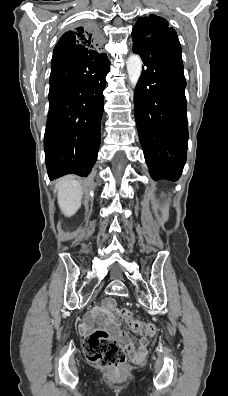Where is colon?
I'll return each mask as SVG.
<instances>
[{"mask_svg":"<svg viewBox=\"0 0 228 396\" xmlns=\"http://www.w3.org/2000/svg\"><path fill=\"white\" fill-rule=\"evenodd\" d=\"M119 315L134 332L147 337L153 336L156 332L154 324L136 320L127 308H122ZM84 350L91 362L103 368L118 370L126 360L123 347L103 329H96L87 337Z\"/></svg>","mask_w":228,"mask_h":396,"instance_id":"1","label":"colon"}]
</instances>
